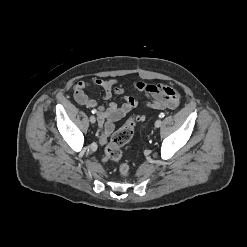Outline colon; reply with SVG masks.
I'll list each match as a JSON object with an SVG mask.
<instances>
[{
    "mask_svg": "<svg viewBox=\"0 0 247 247\" xmlns=\"http://www.w3.org/2000/svg\"><path fill=\"white\" fill-rule=\"evenodd\" d=\"M135 118L129 119L111 137L105 148V159L113 162H120L122 159L121 148L126 145L133 137L135 128ZM120 172L123 176H128L129 166L127 163L120 164Z\"/></svg>",
    "mask_w": 247,
    "mask_h": 247,
    "instance_id": "1",
    "label": "colon"
}]
</instances>
